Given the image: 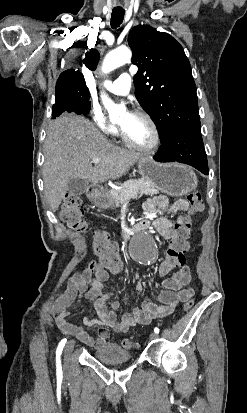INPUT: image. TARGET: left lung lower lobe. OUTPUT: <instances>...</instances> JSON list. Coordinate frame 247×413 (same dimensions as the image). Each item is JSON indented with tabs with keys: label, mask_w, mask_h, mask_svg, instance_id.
<instances>
[{
	"label": "left lung lower lobe",
	"mask_w": 247,
	"mask_h": 413,
	"mask_svg": "<svg viewBox=\"0 0 247 413\" xmlns=\"http://www.w3.org/2000/svg\"><path fill=\"white\" fill-rule=\"evenodd\" d=\"M153 158L158 162H180L208 175L207 157L202 135L197 130H178L168 135Z\"/></svg>",
	"instance_id": "1"
}]
</instances>
